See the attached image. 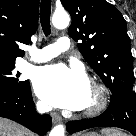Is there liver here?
Segmentation results:
<instances>
[{"mask_svg":"<svg viewBox=\"0 0 136 136\" xmlns=\"http://www.w3.org/2000/svg\"><path fill=\"white\" fill-rule=\"evenodd\" d=\"M0 136H31L21 125L0 117Z\"/></svg>","mask_w":136,"mask_h":136,"instance_id":"liver-1","label":"liver"}]
</instances>
